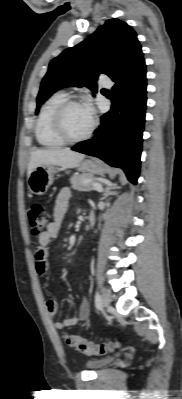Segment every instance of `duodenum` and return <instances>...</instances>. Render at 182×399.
Listing matches in <instances>:
<instances>
[{"instance_id":"410a0bca","label":"duodenum","mask_w":182,"mask_h":399,"mask_svg":"<svg viewBox=\"0 0 182 399\" xmlns=\"http://www.w3.org/2000/svg\"><path fill=\"white\" fill-rule=\"evenodd\" d=\"M87 220H88V226L91 228L96 222V216L93 211L89 212Z\"/></svg>"}]
</instances>
